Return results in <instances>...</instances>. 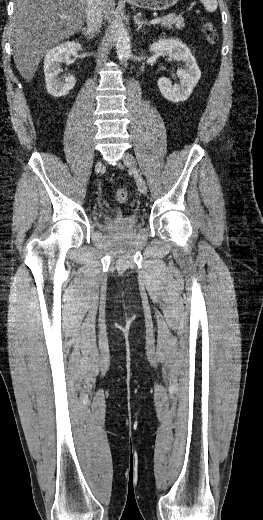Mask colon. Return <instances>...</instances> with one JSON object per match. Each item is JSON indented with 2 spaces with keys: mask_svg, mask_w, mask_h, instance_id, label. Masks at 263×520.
Returning <instances> with one entry per match:
<instances>
[{
  "mask_svg": "<svg viewBox=\"0 0 263 520\" xmlns=\"http://www.w3.org/2000/svg\"><path fill=\"white\" fill-rule=\"evenodd\" d=\"M202 31L205 35L206 40L210 44H214L217 41L218 35L214 25L211 22L203 21L202 22ZM128 198V192L124 188H120L116 192V200L119 203H124Z\"/></svg>",
  "mask_w": 263,
  "mask_h": 520,
  "instance_id": "1",
  "label": "colon"
}]
</instances>
